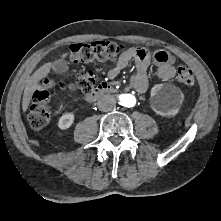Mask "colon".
<instances>
[{
    "instance_id": "5ec220e1",
    "label": "colon",
    "mask_w": 221,
    "mask_h": 221,
    "mask_svg": "<svg viewBox=\"0 0 221 221\" xmlns=\"http://www.w3.org/2000/svg\"><path fill=\"white\" fill-rule=\"evenodd\" d=\"M124 44L112 41H95L89 44L77 43L70 47V58L74 63H87L93 60H113L124 52ZM176 79L186 86H193L195 79L193 72L188 67H180ZM95 75L93 72H83L76 76L73 82L64 83L52 79L41 81L31 95V105L28 121L32 128L41 129L51 119V90L58 86L68 89H79L89 94L95 86Z\"/></svg>"
}]
</instances>
